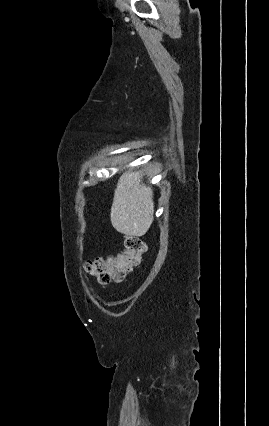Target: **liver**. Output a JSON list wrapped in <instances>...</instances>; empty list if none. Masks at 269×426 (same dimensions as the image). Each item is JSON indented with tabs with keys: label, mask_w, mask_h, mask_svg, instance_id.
Here are the masks:
<instances>
[{
	"label": "liver",
	"mask_w": 269,
	"mask_h": 426,
	"mask_svg": "<svg viewBox=\"0 0 269 426\" xmlns=\"http://www.w3.org/2000/svg\"><path fill=\"white\" fill-rule=\"evenodd\" d=\"M142 179L141 171H127L118 180L114 191L111 223L126 236L145 235L154 220L153 190Z\"/></svg>",
	"instance_id": "obj_1"
}]
</instances>
